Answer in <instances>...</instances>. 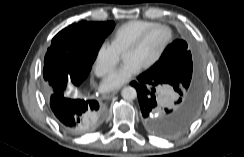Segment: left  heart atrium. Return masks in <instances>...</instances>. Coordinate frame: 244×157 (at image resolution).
<instances>
[{"label": "left heart atrium", "mask_w": 244, "mask_h": 157, "mask_svg": "<svg viewBox=\"0 0 244 157\" xmlns=\"http://www.w3.org/2000/svg\"><path fill=\"white\" fill-rule=\"evenodd\" d=\"M140 69L136 62L127 60L104 80L102 86L105 90L117 89L127 83Z\"/></svg>", "instance_id": "1"}]
</instances>
